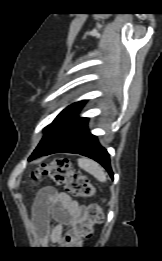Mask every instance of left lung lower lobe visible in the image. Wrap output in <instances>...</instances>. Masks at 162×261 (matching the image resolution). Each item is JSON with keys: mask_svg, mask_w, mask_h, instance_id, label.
<instances>
[{"mask_svg": "<svg viewBox=\"0 0 162 261\" xmlns=\"http://www.w3.org/2000/svg\"><path fill=\"white\" fill-rule=\"evenodd\" d=\"M58 152L76 153L87 156L100 163L107 170L110 177L113 178L109 154L99 144L97 137L90 133L87 122L60 140L44 155Z\"/></svg>", "mask_w": 162, "mask_h": 261, "instance_id": "1", "label": "left lung lower lobe"}]
</instances>
